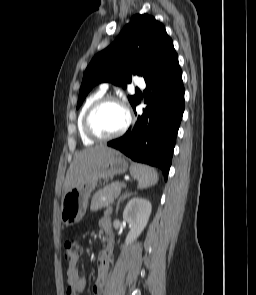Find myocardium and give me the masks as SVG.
<instances>
[{
    "mask_svg": "<svg viewBox=\"0 0 256 295\" xmlns=\"http://www.w3.org/2000/svg\"><path fill=\"white\" fill-rule=\"evenodd\" d=\"M106 103H115V104L119 105L124 110L126 120H125V123L122 126V128L119 129L114 134L107 135V136H101V135L97 134L96 132H94V130L92 129L91 118H92V115L94 114V112L99 107H101L102 105H104ZM130 123H131V115H130L129 110L123 104V102L120 99H118L117 97H115V96H111V95H105L104 96L103 95L100 98H98L96 101H94L90 105L88 110L86 111L85 116H84V120H83V128H84V131H85L86 135L90 139H92L93 141L106 142V141L116 139V138L120 137L121 135H123L127 131V129L129 128Z\"/></svg>",
    "mask_w": 256,
    "mask_h": 295,
    "instance_id": "obj_1",
    "label": "myocardium"
}]
</instances>
